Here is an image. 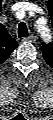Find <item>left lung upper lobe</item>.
I'll list each match as a JSON object with an SVG mask.
<instances>
[{"instance_id":"obj_1","label":"left lung upper lobe","mask_w":53,"mask_h":120,"mask_svg":"<svg viewBox=\"0 0 53 120\" xmlns=\"http://www.w3.org/2000/svg\"><path fill=\"white\" fill-rule=\"evenodd\" d=\"M40 49L43 52L45 61L50 66H52L53 64V43H50V44L42 43V47Z\"/></svg>"}]
</instances>
